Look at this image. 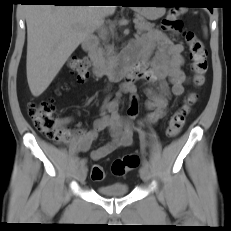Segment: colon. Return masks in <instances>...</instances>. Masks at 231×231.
<instances>
[{
    "instance_id": "colon-1",
    "label": "colon",
    "mask_w": 231,
    "mask_h": 231,
    "mask_svg": "<svg viewBox=\"0 0 231 231\" xmlns=\"http://www.w3.org/2000/svg\"><path fill=\"white\" fill-rule=\"evenodd\" d=\"M181 14V9H171L163 19L162 27L175 35L181 36L185 40L189 48L191 68L194 74L193 82L195 86L200 87L205 82V76L208 70L207 50L194 32L184 29ZM68 68L75 75L77 81L83 82L88 78L89 63L87 59L73 57L68 63ZM195 100V95H191L187 102L171 116L166 131L168 137L174 138L180 134L185 124L190 105L193 104ZM29 114L36 129L50 140L59 144H67L73 139L75 133L58 120L52 100L32 104L29 108ZM137 165V156L127 154L115 159L112 163L111 170L116 176H124ZM90 175L92 180L101 181L105 176L103 167L101 165H94Z\"/></svg>"
}]
</instances>
